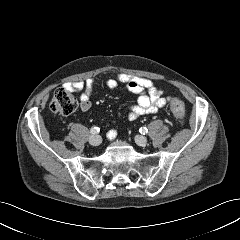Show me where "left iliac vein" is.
I'll use <instances>...</instances> for the list:
<instances>
[{"label":"left iliac vein","mask_w":240,"mask_h":240,"mask_svg":"<svg viewBox=\"0 0 240 240\" xmlns=\"http://www.w3.org/2000/svg\"><path fill=\"white\" fill-rule=\"evenodd\" d=\"M135 142L137 143V145L139 146H145L147 143V138L145 136L142 135H137L135 137Z\"/></svg>","instance_id":"4c4485c4"}]
</instances>
